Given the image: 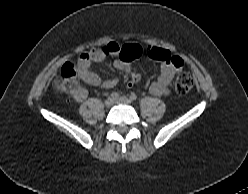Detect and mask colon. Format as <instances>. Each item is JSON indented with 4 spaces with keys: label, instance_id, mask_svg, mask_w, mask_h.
I'll return each instance as SVG.
<instances>
[{
    "label": "colon",
    "instance_id": "1",
    "mask_svg": "<svg viewBox=\"0 0 248 194\" xmlns=\"http://www.w3.org/2000/svg\"><path fill=\"white\" fill-rule=\"evenodd\" d=\"M138 75L135 74L133 77V82L137 81ZM78 77L77 70L72 63H65L55 81L54 88L58 92H71L77 87ZM194 86V80L192 76L188 73H181L176 77L175 80V90L180 94H185L189 92Z\"/></svg>",
    "mask_w": 248,
    "mask_h": 194
}]
</instances>
